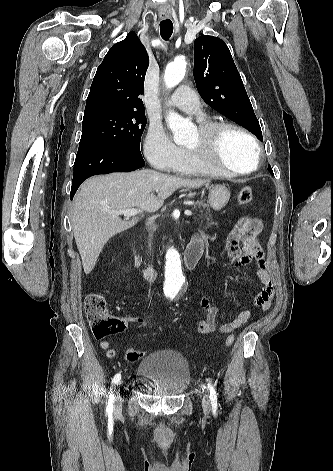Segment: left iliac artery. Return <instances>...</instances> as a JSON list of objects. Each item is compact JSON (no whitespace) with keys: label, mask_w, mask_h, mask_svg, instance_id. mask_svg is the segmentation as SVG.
<instances>
[{"label":"left iliac artery","mask_w":333,"mask_h":471,"mask_svg":"<svg viewBox=\"0 0 333 471\" xmlns=\"http://www.w3.org/2000/svg\"><path fill=\"white\" fill-rule=\"evenodd\" d=\"M208 389H209V392H210L212 412L214 414H216L217 413V394H216V390L210 382H208Z\"/></svg>","instance_id":"obj_1"}]
</instances>
